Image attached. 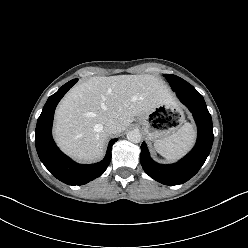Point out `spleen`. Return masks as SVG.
Wrapping results in <instances>:
<instances>
[{"label": "spleen", "mask_w": 248, "mask_h": 248, "mask_svg": "<svg viewBox=\"0 0 248 248\" xmlns=\"http://www.w3.org/2000/svg\"><path fill=\"white\" fill-rule=\"evenodd\" d=\"M195 136L193 125L185 123L172 135L155 141L154 147L161 156L169 161H174L190 150Z\"/></svg>", "instance_id": "3e777b00"}]
</instances>
